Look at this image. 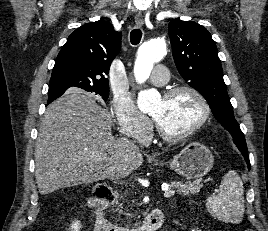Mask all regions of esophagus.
<instances>
[{
    "mask_svg": "<svg viewBox=\"0 0 268 231\" xmlns=\"http://www.w3.org/2000/svg\"><path fill=\"white\" fill-rule=\"evenodd\" d=\"M135 23L137 26H142L144 24V17L141 14L135 16Z\"/></svg>",
    "mask_w": 268,
    "mask_h": 231,
    "instance_id": "esophagus-1",
    "label": "esophagus"
}]
</instances>
